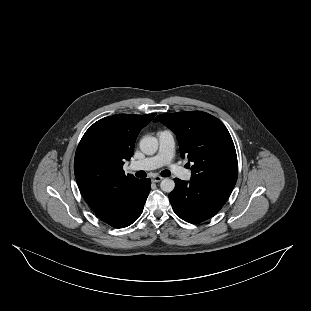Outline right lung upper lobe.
<instances>
[{
  "mask_svg": "<svg viewBox=\"0 0 311 311\" xmlns=\"http://www.w3.org/2000/svg\"><path fill=\"white\" fill-rule=\"evenodd\" d=\"M156 114H117L95 122L75 154L74 173L80 192L93 211L139 179L125 175L123 165L134 152L140 130Z\"/></svg>",
  "mask_w": 311,
  "mask_h": 311,
  "instance_id": "1",
  "label": "right lung upper lobe"
}]
</instances>
